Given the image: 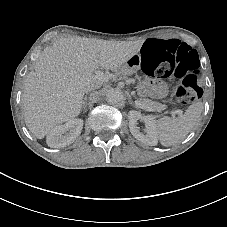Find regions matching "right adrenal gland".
Returning a JSON list of instances; mask_svg holds the SVG:
<instances>
[{"instance_id": "1", "label": "right adrenal gland", "mask_w": 227, "mask_h": 227, "mask_svg": "<svg viewBox=\"0 0 227 227\" xmlns=\"http://www.w3.org/2000/svg\"><path fill=\"white\" fill-rule=\"evenodd\" d=\"M83 109H84V113L87 112V96H85L84 101H83Z\"/></svg>"}]
</instances>
